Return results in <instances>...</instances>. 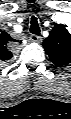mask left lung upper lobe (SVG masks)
Instances as JSON below:
<instances>
[{
    "instance_id": "1",
    "label": "left lung upper lobe",
    "mask_w": 71,
    "mask_h": 119,
    "mask_svg": "<svg viewBox=\"0 0 71 119\" xmlns=\"http://www.w3.org/2000/svg\"><path fill=\"white\" fill-rule=\"evenodd\" d=\"M43 47L55 66L63 67L71 63V34L66 25L56 24L44 39Z\"/></svg>"
}]
</instances>
